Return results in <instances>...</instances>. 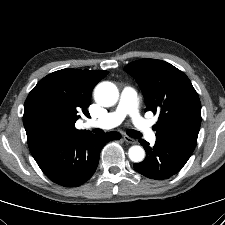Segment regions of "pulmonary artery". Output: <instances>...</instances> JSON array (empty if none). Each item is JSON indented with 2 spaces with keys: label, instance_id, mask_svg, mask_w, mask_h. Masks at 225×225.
Returning a JSON list of instances; mask_svg holds the SVG:
<instances>
[{
  "label": "pulmonary artery",
  "instance_id": "pulmonary-artery-1",
  "mask_svg": "<svg viewBox=\"0 0 225 225\" xmlns=\"http://www.w3.org/2000/svg\"><path fill=\"white\" fill-rule=\"evenodd\" d=\"M127 116L131 118L133 124L139 130L141 135H143L151 143L156 141V136L151 128L150 122L144 119L139 113L138 96L132 87H125L122 90L115 110L99 120L90 122L89 126L113 128L121 124Z\"/></svg>",
  "mask_w": 225,
  "mask_h": 225
}]
</instances>
